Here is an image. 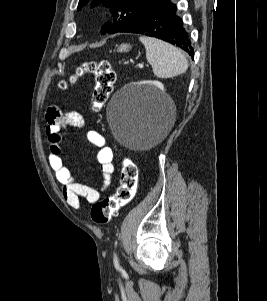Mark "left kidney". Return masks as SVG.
Here are the masks:
<instances>
[{"label":"left kidney","mask_w":267,"mask_h":301,"mask_svg":"<svg viewBox=\"0 0 267 301\" xmlns=\"http://www.w3.org/2000/svg\"><path fill=\"white\" fill-rule=\"evenodd\" d=\"M158 87L160 88V89H163V85L162 84H158Z\"/></svg>","instance_id":"5707ae66"}]
</instances>
